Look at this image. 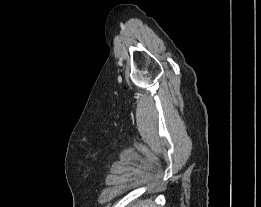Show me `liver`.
<instances>
[{
    "label": "liver",
    "instance_id": "liver-1",
    "mask_svg": "<svg viewBox=\"0 0 261 207\" xmlns=\"http://www.w3.org/2000/svg\"><path fill=\"white\" fill-rule=\"evenodd\" d=\"M150 204H141L140 206H138V207H152L151 205L149 206ZM135 207H137V206H135Z\"/></svg>",
    "mask_w": 261,
    "mask_h": 207
}]
</instances>
